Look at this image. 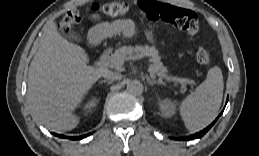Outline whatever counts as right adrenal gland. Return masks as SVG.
<instances>
[{
	"instance_id": "obj_1",
	"label": "right adrenal gland",
	"mask_w": 259,
	"mask_h": 156,
	"mask_svg": "<svg viewBox=\"0 0 259 156\" xmlns=\"http://www.w3.org/2000/svg\"><path fill=\"white\" fill-rule=\"evenodd\" d=\"M99 83H107V84H111L112 81H108V80H100Z\"/></svg>"
}]
</instances>
